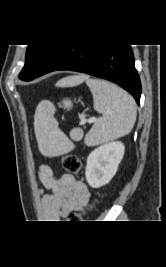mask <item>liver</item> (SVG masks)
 <instances>
[{
    "label": "liver",
    "mask_w": 166,
    "mask_h": 267,
    "mask_svg": "<svg viewBox=\"0 0 166 267\" xmlns=\"http://www.w3.org/2000/svg\"><path fill=\"white\" fill-rule=\"evenodd\" d=\"M87 79L86 75H77L64 78L56 83L58 87H73L81 84Z\"/></svg>",
    "instance_id": "obj_1"
}]
</instances>
